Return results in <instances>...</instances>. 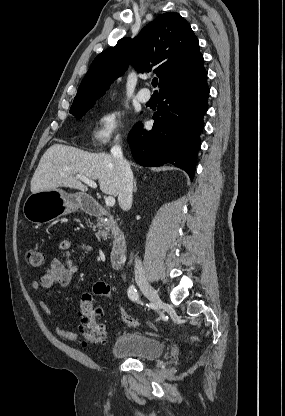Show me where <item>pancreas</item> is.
<instances>
[{
  "instance_id": "pancreas-1",
  "label": "pancreas",
  "mask_w": 285,
  "mask_h": 416,
  "mask_svg": "<svg viewBox=\"0 0 285 416\" xmlns=\"http://www.w3.org/2000/svg\"><path fill=\"white\" fill-rule=\"evenodd\" d=\"M116 222L113 220L112 216H109L108 222H101V220H97L96 226L93 228H98L97 234H95L96 238H100L102 236L103 240H107L108 232H115Z\"/></svg>"
}]
</instances>
